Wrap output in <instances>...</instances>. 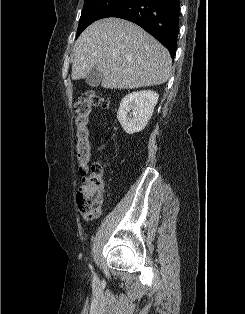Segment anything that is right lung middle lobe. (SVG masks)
I'll return each mask as SVG.
<instances>
[{"label": "right lung middle lobe", "mask_w": 245, "mask_h": 314, "mask_svg": "<svg viewBox=\"0 0 245 314\" xmlns=\"http://www.w3.org/2000/svg\"><path fill=\"white\" fill-rule=\"evenodd\" d=\"M126 1L127 0H85L77 29V37L91 23L103 18L106 14Z\"/></svg>", "instance_id": "1"}]
</instances>
